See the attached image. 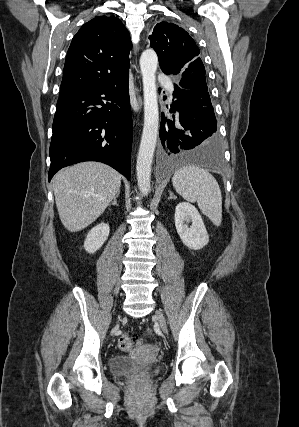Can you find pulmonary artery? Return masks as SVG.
<instances>
[{"instance_id":"1","label":"pulmonary artery","mask_w":299,"mask_h":427,"mask_svg":"<svg viewBox=\"0 0 299 427\" xmlns=\"http://www.w3.org/2000/svg\"><path fill=\"white\" fill-rule=\"evenodd\" d=\"M161 82L165 85V87L167 88L170 95H172V93L174 91V87H173L172 82L166 78L162 79Z\"/></svg>"}]
</instances>
